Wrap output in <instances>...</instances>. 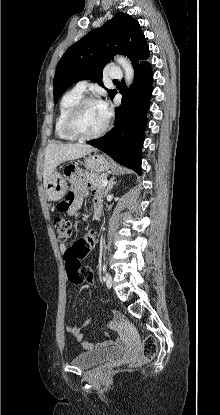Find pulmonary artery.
<instances>
[{"mask_svg": "<svg viewBox=\"0 0 220 415\" xmlns=\"http://www.w3.org/2000/svg\"><path fill=\"white\" fill-rule=\"evenodd\" d=\"M109 75L112 78H121L122 77V72L118 67H115V68L110 70ZM87 84H88L87 81H80L75 85L74 89H76V90L83 93L85 91L86 87H87Z\"/></svg>", "mask_w": 220, "mask_h": 415, "instance_id": "1", "label": "pulmonary artery"}]
</instances>
